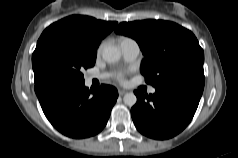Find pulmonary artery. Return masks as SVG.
Listing matches in <instances>:
<instances>
[{"label": "pulmonary artery", "instance_id": "e3ab8cb5", "mask_svg": "<svg viewBox=\"0 0 238 158\" xmlns=\"http://www.w3.org/2000/svg\"><path fill=\"white\" fill-rule=\"evenodd\" d=\"M120 49L123 55V58L126 62H133L137 56L139 55V46L137 44V42L131 38H125L123 40L120 41ZM107 77L106 74L103 75H96V76H92V78H105ZM155 88L151 87L149 89V93L154 94L155 93Z\"/></svg>", "mask_w": 238, "mask_h": 158}]
</instances>
